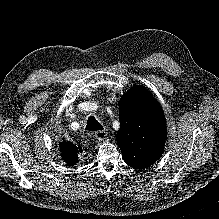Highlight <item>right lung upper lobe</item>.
Wrapping results in <instances>:
<instances>
[{
	"mask_svg": "<svg viewBox=\"0 0 219 219\" xmlns=\"http://www.w3.org/2000/svg\"><path fill=\"white\" fill-rule=\"evenodd\" d=\"M78 151L82 152L81 147L77 148L71 142L64 141L60 143V152L62 159L70 166H73L78 162Z\"/></svg>",
	"mask_w": 219,
	"mask_h": 219,
	"instance_id": "obj_1",
	"label": "right lung upper lobe"
}]
</instances>
